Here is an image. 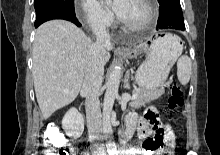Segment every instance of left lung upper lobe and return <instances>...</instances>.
<instances>
[{
	"label": "left lung upper lobe",
	"mask_w": 220,
	"mask_h": 155,
	"mask_svg": "<svg viewBox=\"0 0 220 155\" xmlns=\"http://www.w3.org/2000/svg\"><path fill=\"white\" fill-rule=\"evenodd\" d=\"M171 1H180V0H158V2H159L160 4L166 3V2H171Z\"/></svg>",
	"instance_id": "left-lung-upper-lobe-1"
}]
</instances>
